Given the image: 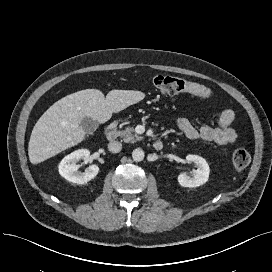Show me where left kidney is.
Wrapping results in <instances>:
<instances>
[{
    "mask_svg": "<svg viewBox=\"0 0 272 272\" xmlns=\"http://www.w3.org/2000/svg\"><path fill=\"white\" fill-rule=\"evenodd\" d=\"M188 162H192L197 166L195 175L193 177L188 176L186 173H181L178 176V182L183 187H198L208 181L210 168L204 158L198 155L188 154L186 156Z\"/></svg>",
    "mask_w": 272,
    "mask_h": 272,
    "instance_id": "obj_1",
    "label": "left kidney"
}]
</instances>
